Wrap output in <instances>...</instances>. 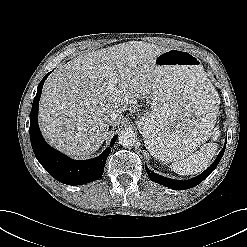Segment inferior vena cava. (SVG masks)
I'll return each instance as SVG.
<instances>
[{"mask_svg": "<svg viewBox=\"0 0 247 247\" xmlns=\"http://www.w3.org/2000/svg\"><path fill=\"white\" fill-rule=\"evenodd\" d=\"M120 121H121V117L116 113L111 114L107 119L108 124L112 126L119 124Z\"/></svg>", "mask_w": 247, "mask_h": 247, "instance_id": "1", "label": "inferior vena cava"}]
</instances>
